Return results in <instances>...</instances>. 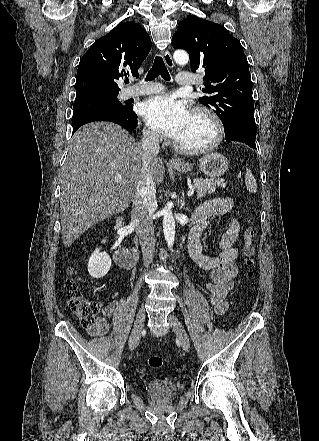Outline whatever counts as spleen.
<instances>
[{
  "instance_id": "1",
  "label": "spleen",
  "mask_w": 319,
  "mask_h": 441,
  "mask_svg": "<svg viewBox=\"0 0 319 441\" xmlns=\"http://www.w3.org/2000/svg\"><path fill=\"white\" fill-rule=\"evenodd\" d=\"M245 185L247 187V190L251 193L257 192V184L255 181V178L252 174V172L247 168L246 175H245Z\"/></svg>"
}]
</instances>
